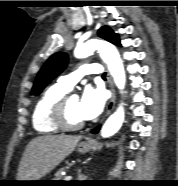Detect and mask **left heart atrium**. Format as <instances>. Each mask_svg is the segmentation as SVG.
I'll return each instance as SVG.
<instances>
[{
    "label": "left heart atrium",
    "instance_id": "1",
    "mask_svg": "<svg viewBox=\"0 0 178 186\" xmlns=\"http://www.w3.org/2000/svg\"><path fill=\"white\" fill-rule=\"evenodd\" d=\"M105 92L102 88L87 87L79 100V112L84 120L96 118L103 111Z\"/></svg>",
    "mask_w": 178,
    "mask_h": 186
}]
</instances>
